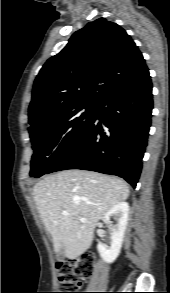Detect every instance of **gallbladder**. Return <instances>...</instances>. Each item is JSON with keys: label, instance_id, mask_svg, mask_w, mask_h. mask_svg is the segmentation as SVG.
<instances>
[{"label": "gallbladder", "instance_id": "1", "mask_svg": "<svg viewBox=\"0 0 170 293\" xmlns=\"http://www.w3.org/2000/svg\"><path fill=\"white\" fill-rule=\"evenodd\" d=\"M64 249L62 248L58 253H56V259L62 260L64 258Z\"/></svg>", "mask_w": 170, "mask_h": 293}]
</instances>
